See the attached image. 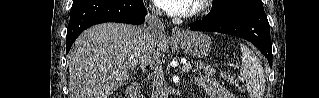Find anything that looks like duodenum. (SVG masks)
I'll list each match as a JSON object with an SVG mask.
<instances>
[{
  "label": "duodenum",
  "instance_id": "obj_1",
  "mask_svg": "<svg viewBox=\"0 0 319 98\" xmlns=\"http://www.w3.org/2000/svg\"><path fill=\"white\" fill-rule=\"evenodd\" d=\"M126 96L127 98H142L140 94V87L137 82H132L128 85Z\"/></svg>",
  "mask_w": 319,
  "mask_h": 98
}]
</instances>
